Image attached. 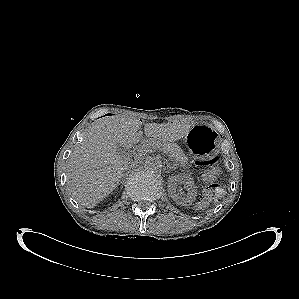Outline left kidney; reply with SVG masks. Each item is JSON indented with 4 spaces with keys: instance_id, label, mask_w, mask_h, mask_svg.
Instances as JSON below:
<instances>
[{
    "instance_id": "5707ae66",
    "label": "left kidney",
    "mask_w": 299,
    "mask_h": 299,
    "mask_svg": "<svg viewBox=\"0 0 299 299\" xmlns=\"http://www.w3.org/2000/svg\"><path fill=\"white\" fill-rule=\"evenodd\" d=\"M177 183L184 184L187 190L186 194L179 195L176 193ZM168 192L172 199L182 206L190 205L197 196V190L192 179L186 175L180 174L174 176L172 175L168 178Z\"/></svg>"
}]
</instances>
